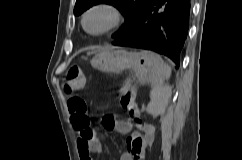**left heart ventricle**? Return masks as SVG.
I'll use <instances>...</instances> for the list:
<instances>
[{"mask_svg": "<svg viewBox=\"0 0 242 160\" xmlns=\"http://www.w3.org/2000/svg\"><path fill=\"white\" fill-rule=\"evenodd\" d=\"M110 21V12L106 10H96L88 16L86 25L90 31L96 32L105 28Z\"/></svg>", "mask_w": 242, "mask_h": 160, "instance_id": "left-heart-ventricle-1", "label": "left heart ventricle"}]
</instances>
